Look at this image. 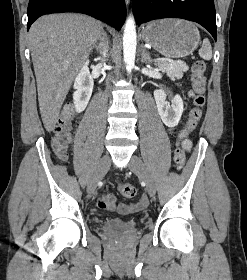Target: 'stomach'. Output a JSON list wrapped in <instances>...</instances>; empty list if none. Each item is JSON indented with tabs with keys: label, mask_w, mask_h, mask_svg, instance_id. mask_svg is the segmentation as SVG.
Instances as JSON below:
<instances>
[{
	"label": "stomach",
	"mask_w": 247,
	"mask_h": 280,
	"mask_svg": "<svg viewBox=\"0 0 247 280\" xmlns=\"http://www.w3.org/2000/svg\"><path fill=\"white\" fill-rule=\"evenodd\" d=\"M142 38L161 55L169 58H182L193 53L200 42L197 27L182 19L149 22L142 30Z\"/></svg>",
	"instance_id": "obj_1"
}]
</instances>
